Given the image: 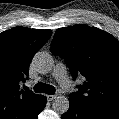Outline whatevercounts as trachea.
Here are the masks:
<instances>
[{
	"instance_id": "trachea-1",
	"label": "trachea",
	"mask_w": 119,
	"mask_h": 119,
	"mask_svg": "<svg viewBox=\"0 0 119 119\" xmlns=\"http://www.w3.org/2000/svg\"><path fill=\"white\" fill-rule=\"evenodd\" d=\"M34 91L37 93H46V94H50V95H54L55 94V87H53L52 85H46L45 83H37L34 86Z\"/></svg>"
}]
</instances>
